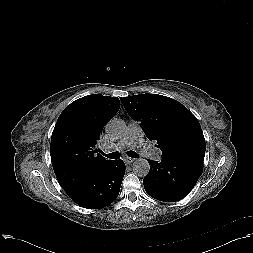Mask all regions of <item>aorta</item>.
<instances>
[{
  "instance_id": "762f6f07",
  "label": "aorta",
  "mask_w": 253,
  "mask_h": 253,
  "mask_svg": "<svg viewBox=\"0 0 253 253\" xmlns=\"http://www.w3.org/2000/svg\"><path fill=\"white\" fill-rule=\"evenodd\" d=\"M125 123L122 120L113 119L105 127V131L112 136H118L125 130ZM150 170V165L146 159L138 158L133 163V172L139 177H145Z\"/></svg>"
}]
</instances>
